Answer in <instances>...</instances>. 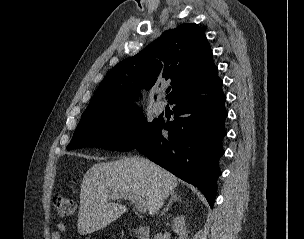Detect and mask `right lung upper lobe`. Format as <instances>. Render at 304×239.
I'll list each match as a JSON object with an SVG mask.
<instances>
[{
  "mask_svg": "<svg viewBox=\"0 0 304 239\" xmlns=\"http://www.w3.org/2000/svg\"><path fill=\"white\" fill-rule=\"evenodd\" d=\"M197 24L165 31L137 55L118 63L98 87L81 118L126 104L142 88L169 80V101L217 70L210 45Z\"/></svg>",
  "mask_w": 304,
  "mask_h": 239,
  "instance_id": "right-lung-upper-lobe-1",
  "label": "right lung upper lobe"
}]
</instances>
